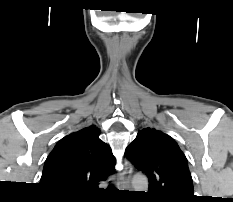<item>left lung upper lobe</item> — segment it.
Returning a JSON list of instances; mask_svg holds the SVG:
<instances>
[{"label": "left lung upper lobe", "mask_w": 233, "mask_h": 202, "mask_svg": "<svg viewBox=\"0 0 233 202\" xmlns=\"http://www.w3.org/2000/svg\"><path fill=\"white\" fill-rule=\"evenodd\" d=\"M125 156L149 179L148 197L156 202H192L193 182L185 155L169 135L141 130Z\"/></svg>", "instance_id": "left-lung-upper-lobe-1"}]
</instances>
